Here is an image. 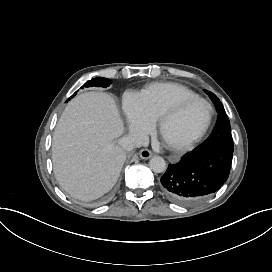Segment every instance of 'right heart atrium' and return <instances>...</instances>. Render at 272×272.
<instances>
[{"instance_id": "d8ad5b80", "label": "right heart atrium", "mask_w": 272, "mask_h": 272, "mask_svg": "<svg viewBox=\"0 0 272 272\" xmlns=\"http://www.w3.org/2000/svg\"><path fill=\"white\" fill-rule=\"evenodd\" d=\"M129 126L134 130H147L153 124V119L139 107L135 96H128Z\"/></svg>"}]
</instances>
